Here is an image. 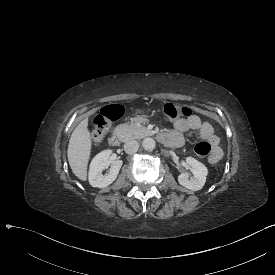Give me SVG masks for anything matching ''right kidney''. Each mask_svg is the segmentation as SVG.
I'll list each match as a JSON object with an SVG mask.
<instances>
[{
  "instance_id": "right-kidney-1",
  "label": "right kidney",
  "mask_w": 275,
  "mask_h": 275,
  "mask_svg": "<svg viewBox=\"0 0 275 275\" xmlns=\"http://www.w3.org/2000/svg\"><path fill=\"white\" fill-rule=\"evenodd\" d=\"M111 151L99 153L92 161L89 172V183L94 188H106L110 186L118 177L123 165L122 160L111 162V169L108 175H102V171L109 166Z\"/></svg>"
}]
</instances>
